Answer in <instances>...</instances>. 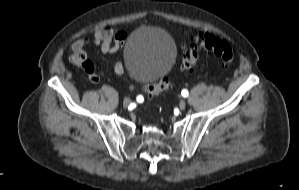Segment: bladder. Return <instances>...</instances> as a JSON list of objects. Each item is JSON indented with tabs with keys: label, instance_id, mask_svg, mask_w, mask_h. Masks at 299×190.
<instances>
[{
	"label": "bladder",
	"instance_id": "31cf9c89",
	"mask_svg": "<svg viewBox=\"0 0 299 190\" xmlns=\"http://www.w3.org/2000/svg\"><path fill=\"white\" fill-rule=\"evenodd\" d=\"M176 46L165 31L144 27L128 38L123 58L127 73L134 80L157 82L172 67L176 59Z\"/></svg>",
	"mask_w": 299,
	"mask_h": 190
}]
</instances>
